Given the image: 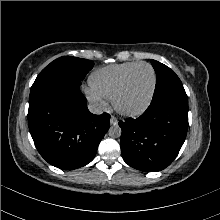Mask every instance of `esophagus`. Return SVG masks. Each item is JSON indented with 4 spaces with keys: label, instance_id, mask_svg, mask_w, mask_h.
I'll return each mask as SVG.
<instances>
[{
    "label": "esophagus",
    "instance_id": "1",
    "mask_svg": "<svg viewBox=\"0 0 220 220\" xmlns=\"http://www.w3.org/2000/svg\"><path fill=\"white\" fill-rule=\"evenodd\" d=\"M110 124H111V125H117V124H118L117 118L114 117V116H112V117L110 118Z\"/></svg>",
    "mask_w": 220,
    "mask_h": 220
}]
</instances>
